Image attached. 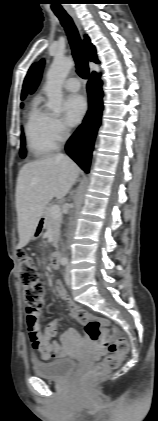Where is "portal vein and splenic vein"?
Instances as JSON below:
<instances>
[{
  "mask_svg": "<svg viewBox=\"0 0 158 421\" xmlns=\"http://www.w3.org/2000/svg\"><path fill=\"white\" fill-rule=\"evenodd\" d=\"M51 216L57 218L61 216L60 207L58 205H53L51 208Z\"/></svg>",
  "mask_w": 158,
  "mask_h": 421,
  "instance_id": "portal-vein-and-splenic-vein-1",
  "label": "portal vein and splenic vein"
}]
</instances>
